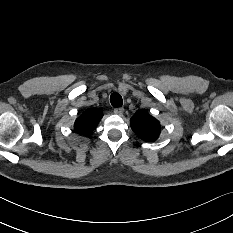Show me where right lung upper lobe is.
<instances>
[{
	"label": "right lung upper lobe",
	"mask_w": 233,
	"mask_h": 233,
	"mask_svg": "<svg viewBox=\"0 0 233 233\" xmlns=\"http://www.w3.org/2000/svg\"><path fill=\"white\" fill-rule=\"evenodd\" d=\"M103 113L97 109H87L80 117L77 118L74 128L81 135H86L95 130Z\"/></svg>",
	"instance_id": "1"
}]
</instances>
